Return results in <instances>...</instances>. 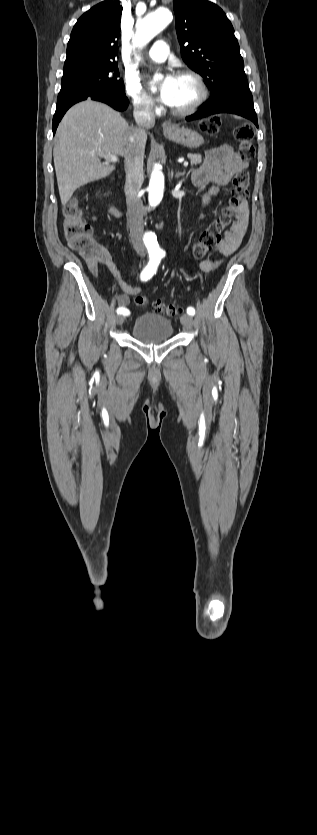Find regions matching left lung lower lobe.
<instances>
[{
  "instance_id": "obj_1",
  "label": "left lung lower lobe",
  "mask_w": 317,
  "mask_h": 835,
  "mask_svg": "<svg viewBox=\"0 0 317 835\" xmlns=\"http://www.w3.org/2000/svg\"><path fill=\"white\" fill-rule=\"evenodd\" d=\"M217 113H232L251 120L258 127L257 115L253 105L251 92L235 91L218 103L207 101L193 115L186 118L187 121L201 119Z\"/></svg>"
}]
</instances>
